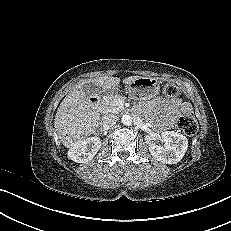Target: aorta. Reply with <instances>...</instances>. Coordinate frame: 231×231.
I'll return each mask as SVG.
<instances>
[{
	"instance_id": "obj_1",
	"label": "aorta",
	"mask_w": 231,
	"mask_h": 231,
	"mask_svg": "<svg viewBox=\"0 0 231 231\" xmlns=\"http://www.w3.org/2000/svg\"><path fill=\"white\" fill-rule=\"evenodd\" d=\"M121 122L122 124L129 126L132 124V117L130 115L125 114L122 116Z\"/></svg>"
}]
</instances>
